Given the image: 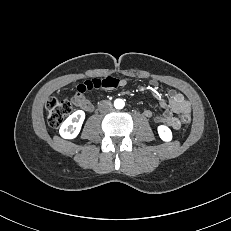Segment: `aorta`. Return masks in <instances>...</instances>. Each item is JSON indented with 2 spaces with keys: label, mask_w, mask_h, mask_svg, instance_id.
Wrapping results in <instances>:
<instances>
[{
  "label": "aorta",
  "mask_w": 231,
  "mask_h": 231,
  "mask_svg": "<svg viewBox=\"0 0 231 231\" xmlns=\"http://www.w3.org/2000/svg\"><path fill=\"white\" fill-rule=\"evenodd\" d=\"M125 103L122 99H116L114 101V106L116 109H122L124 107Z\"/></svg>",
  "instance_id": "1"
}]
</instances>
